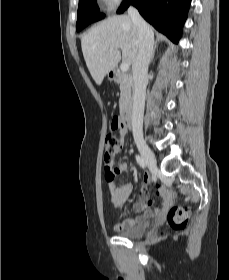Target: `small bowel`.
I'll return each mask as SVG.
<instances>
[{
    "instance_id": "small-bowel-1",
    "label": "small bowel",
    "mask_w": 229,
    "mask_h": 280,
    "mask_svg": "<svg viewBox=\"0 0 229 280\" xmlns=\"http://www.w3.org/2000/svg\"><path fill=\"white\" fill-rule=\"evenodd\" d=\"M119 134H120V142L122 148L124 149L125 148L124 137L128 134V130H124L121 128ZM127 167L128 166L125 161H119L116 163L114 172L123 173L127 170ZM143 178L145 180L148 179V175L146 173L143 174ZM108 191L111 197L112 204L115 206V208L121 210L123 209L126 201L128 200V198L130 197L133 191V185L130 182H126L117 186H115L113 183H108ZM156 193L162 199V205L161 207L155 208L153 214L155 216L161 217L166 214V212L170 207L171 204L170 191L168 188L164 187L163 185L157 184ZM148 197H149L148 192L145 189L142 190L139 200L133 206L134 212L144 213L150 210L151 204L148 201ZM143 219L144 218L142 216H138L132 219H127L122 223L116 224L114 226V230L118 232L124 229H128L134 226L136 223H138V221Z\"/></svg>"
}]
</instances>
